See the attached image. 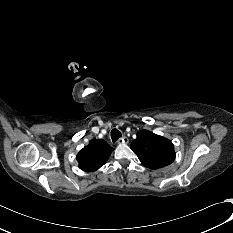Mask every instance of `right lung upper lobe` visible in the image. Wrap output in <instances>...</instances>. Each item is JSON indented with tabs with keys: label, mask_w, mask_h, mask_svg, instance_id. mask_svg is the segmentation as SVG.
Wrapping results in <instances>:
<instances>
[{
	"label": "right lung upper lobe",
	"mask_w": 233,
	"mask_h": 233,
	"mask_svg": "<svg viewBox=\"0 0 233 233\" xmlns=\"http://www.w3.org/2000/svg\"><path fill=\"white\" fill-rule=\"evenodd\" d=\"M113 148L103 139H94L77 154L79 168L92 172L102 167L108 160Z\"/></svg>",
	"instance_id": "cb5924a9"
}]
</instances>
